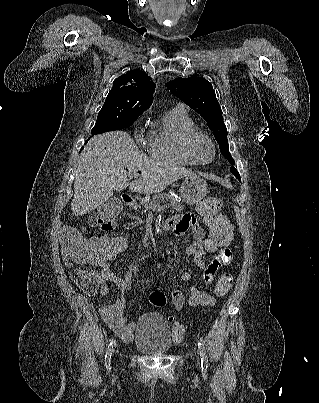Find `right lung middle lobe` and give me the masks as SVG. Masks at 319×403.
<instances>
[{
  "mask_svg": "<svg viewBox=\"0 0 319 403\" xmlns=\"http://www.w3.org/2000/svg\"><path fill=\"white\" fill-rule=\"evenodd\" d=\"M143 112L123 105H103L91 134H100L131 126Z\"/></svg>",
  "mask_w": 319,
  "mask_h": 403,
  "instance_id": "1",
  "label": "right lung middle lobe"
}]
</instances>
